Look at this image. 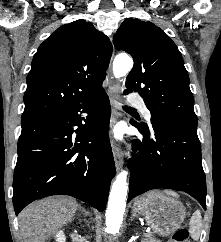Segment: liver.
Returning a JSON list of instances; mask_svg holds the SVG:
<instances>
[{"instance_id": "liver-1", "label": "liver", "mask_w": 221, "mask_h": 242, "mask_svg": "<svg viewBox=\"0 0 221 242\" xmlns=\"http://www.w3.org/2000/svg\"><path fill=\"white\" fill-rule=\"evenodd\" d=\"M79 204L69 197H51L34 202L19 214L24 242H45L59 228L70 222Z\"/></svg>"}]
</instances>
